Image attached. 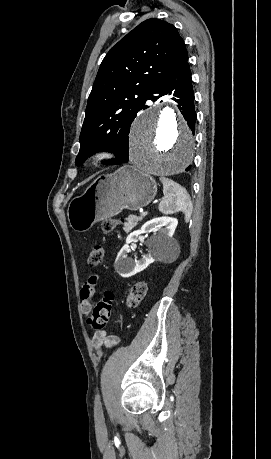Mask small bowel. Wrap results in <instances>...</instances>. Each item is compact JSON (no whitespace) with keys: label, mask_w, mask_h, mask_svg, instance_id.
I'll return each instance as SVG.
<instances>
[{"label":"small bowel","mask_w":271,"mask_h":459,"mask_svg":"<svg viewBox=\"0 0 271 459\" xmlns=\"http://www.w3.org/2000/svg\"><path fill=\"white\" fill-rule=\"evenodd\" d=\"M100 277L97 274L89 275L81 285L80 299L82 312L88 317L93 306V296ZM91 341L93 347L100 351L102 347L112 348L118 344L119 338L114 335H109L103 330H97L92 333Z\"/></svg>","instance_id":"1"}]
</instances>
